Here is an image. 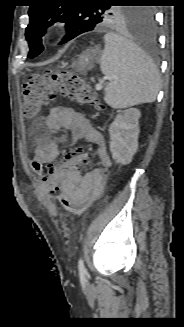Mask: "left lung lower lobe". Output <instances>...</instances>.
I'll return each mask as SVG.
<instances>
[{"label":"left lung lower lobe","mask_w":184,"mask_h":327,"mask_svg":"<svg viewBox=\"0 0 184 327\" xmlns=\"http://www.w3.org/2000/svg\"><path fill=\"white\" fill-rule=\"evenodd\" d=\"M149 11L147 16L136 26L135 36L138 47L144 52L149 53L150 55H156L158 52V41L156 34V22L154 14ZM78 36V34H71V32L67 31V35L61 41L65 43L73 38Z\"/></svg>","instance_id":"0a47b994"}]
</instances>
